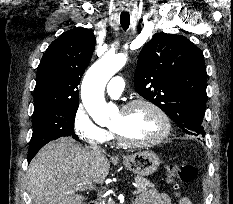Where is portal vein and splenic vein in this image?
<instances>
[{
	"instance_id": "portal-vein-and-splenic-vein-1",
	"label": "portal vein and splenic vein",
	"mask_w": 233,
	"mask_h": 204,
	"mask_svg": "<svg viewBox=\"0 0 233 204\" xmlns=\"http://www.w3.org/2000/svg\"><path fill=\"white\" fill-rule=\"evenodd\" d=\"M80 189H82V190L95 189V187L94 186H88V187H86V186H78L75 190H80ZM136 192H137V190H134L133 194H135Z\"/></svg>"
}]
</instances>
